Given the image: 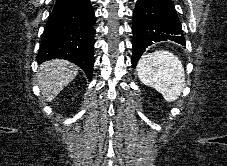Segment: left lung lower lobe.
Returning a JSON list of instances; mask_svg holds the SVG:
<instances>
[{
    "label": "left lung lower lobe",
    "mask_w": 227,
    "mask_h": 166,
    "mask_svg": "<svg viewBox=\"0 0 227 166\" xmlns=\"http://www.w3.org/2000/svg\"><path fill=\"white\" fill-rule=\"evenodd\" d=\"M132 30L133 67L153 42L171 40L185 46L181 23L172 0H137Z\"/></svg>",
    "instance_id": "1"
}]
</instances>
